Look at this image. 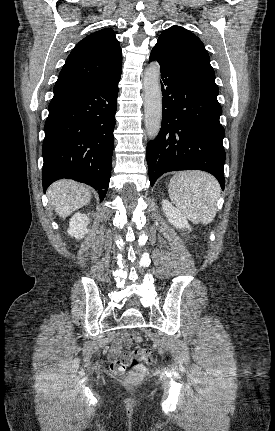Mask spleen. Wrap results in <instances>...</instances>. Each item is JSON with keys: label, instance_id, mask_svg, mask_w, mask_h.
Instances as JSON below:
<instances>
[{"label": "spleen", "instance_id": "3e777b00", "mask_svg": "<svg viewBox=\"0 0 275 431\" xmlns=\"http://www.w3.org/2000/svg\"><path fill=\"white\" fill-rule=\"evenodd\" d=\"M220 185L209 173L182 171L176 173L168 186L169 197L193 223L209 224L217 213Z\"/></svg>", "mask_w": 275, "mask_h": 431}]
</instances>
